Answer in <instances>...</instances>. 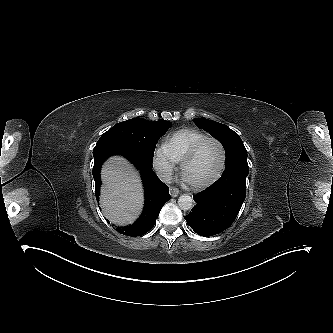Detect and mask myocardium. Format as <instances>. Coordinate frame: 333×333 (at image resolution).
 I'll list each match as a JSON object with an SVG mask.
<instances>
[{
  "instance_id": "myocardium-1",
  "label": "myocardium",
  "mask_w": 333,
  "mask_h": 333,
  "mask_svg": "<svg viewBox=\"0 0 333 333\" xmlns=\"http://www.w3.org/2000/svg\"><path fill=\"white\" fill-rule=\"evenodd\" d=\"M208 141H214L218 144L220 151H221V160H220V165L218 170L216 171V173L209 178L206 181H202V182H198V183H194V182H190L189 184L195 188V189H203L206 188L210 185H212L213 183H215L220 176L222 175L225 165H226V149L223 145V143L221 142L220 139L214 137V136H207L201 140H199L196 144H194L190 150L185 154V156L183 157V159L181 160V171L182 173L185 175V168L186 165L188 164L189 161H191L198 153V151L200 150V148Z\"/></svg>"
}]
</instances>
